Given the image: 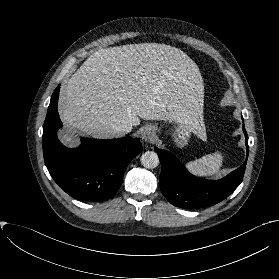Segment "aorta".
Masks as SVG:
<instances>
[{"label":"aorta","mask_w":279,"mask_h":279,"mask_svg":"<svg viewBox=\"0 0 279 279\" xmlns=\"http://www.w3.org/2000/svg\"><path fill=\"white\" fill-rule=\"evenodd\" d=\"M141 164L147 169H153L159 164V157L153 151H147L141 156Z\"/></svg>","instance_id":"762f6f07"}]
</instances>
